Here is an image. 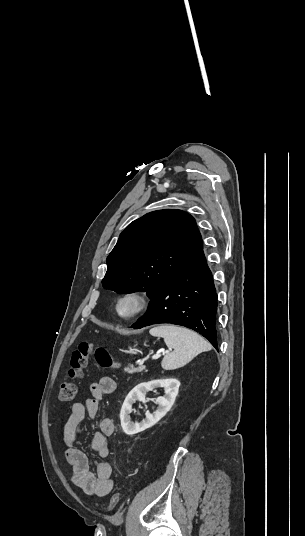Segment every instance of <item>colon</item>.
I'll return each mask as SVG.
<instances>
[{
	"label": "colon",
	"instance_id": "obj_1",
	"mask_svg": "<svg viewBox=\"0 0 305 536\" xmlns=\"http://www.w3.org/2000/svg\"><path fill=\"white\" fill-rule=\"evenodd\" d=\"M92 357L102 368L118 369L120 367V363L112 358L106 347L94 345L89 341H81L71 354L69 380L63 382L60 386V402L70 403L74 399L77 385L83 379L89 360ZM118 503L119 493L113 492L106 510L108 512L112 511Z\"/></svg>",
	"mask_w": 305,
	"mask_h": 536
}]
</instances>
